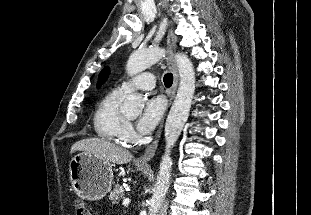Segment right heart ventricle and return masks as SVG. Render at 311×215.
I'll return each mask as SVG.
<instances>
[{
    "label": "right heart ventricle",
    "instance_id": "obj_1",
    "mask_svg": "<svg viewBox=\"0 0 311 215\" xmlns=\"http://www.w3.org/2000/svg\"><path fill=\"white\" fill-rule=\"evenodd\" d=\"M124 92L114 89L109 92L98 104L94 113V129L102 139L115 143L124 141L126 118L120 111V104Z\"/></svg>",
    "mask_w": 311,
    "mask_h": 215
}]
</instances>
